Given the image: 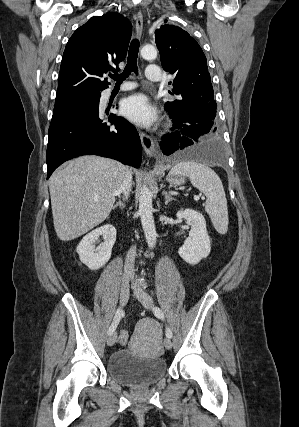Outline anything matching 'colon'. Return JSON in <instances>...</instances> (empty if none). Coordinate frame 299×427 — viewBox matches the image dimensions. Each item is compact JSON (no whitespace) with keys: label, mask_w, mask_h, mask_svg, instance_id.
<instances>
[{"label":"colon","mask_w":299,"mask_h":427,"mask_svg":"<svg viewBox=\"0 0 299 427\" xmlns=\"http://www.w3.org/2000/svg\"><path fill=\"white\" fill-rule=\"evenodd\" d=\"M128 338H129L128 332L124 331L123 335L120 338V342L122 344H125L127 342Z\"/></svg>","instance_id":"1"}]
</instances>
